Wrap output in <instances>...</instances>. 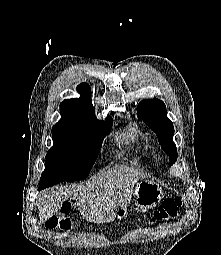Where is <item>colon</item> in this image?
I'll list each match as a JSON object with an SVG mask.
<instances>
[{
    "mask_svg": "<svg viewBox=\"0 0 221 255\" xmlns=\"http://www.w3.org/2000/svg\"><path fill=\"white\" fill-rule=\"evenodd\" d=\"M182 206V201L179 198L166 199L162 204L155 210L154 215L151 219L152 224L169 220L177 217L179 209ZM70 205L63 204L58 214L53 215L47 221V228L56 229L59 228L62 231H68L71 228V221L69 218Z\"/></svg>",
    "mask_w": 221,
    "mask_h": 255,
    "instance_id": "obj_1",
    "label": "colon"
}]
</instances>
